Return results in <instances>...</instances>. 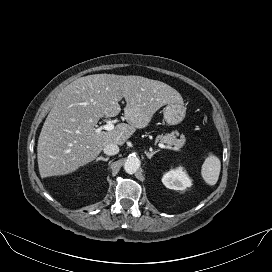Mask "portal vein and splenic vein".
Listing matches in <instances>:
<instances>
[{"instance_id": "1", "label": "portal vein and splenic vein", "mask_w": 272, "mask_h": 272, "mask_svg": "<svg viewBox=\"0 0 272 272\" xmlns=\"http://www.w3.org/2000/svg\"><path fill=\"white\" fill-rule=\"evenodd\" d=\"M113 129H114V124L111 123V122H108L107 124L100 126V127L96 130V132H97V133H100L102 130L111 131V130H113ZM158 146H159L160 148H164V149H171V147L166 146V145H164V144H162V143H159ZM173 149H174V150H178L177 147H175V148H173Z\"/></svg>"}]
</instances>
